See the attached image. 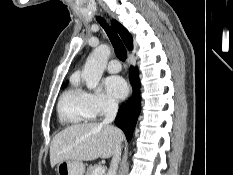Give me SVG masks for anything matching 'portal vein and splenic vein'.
<instances>
[{
    "label": "portal vein and splenic vein",
    "mask_w": 233,
    "mask_h": 175,
    "mask_svg": "<svg viewBox=\"0 0 233 175\" xmlns=\"http://www.w3.org/2000/svg\"><path fill=\"white\" fill-rule=\"evenodd\" d=\"M105 173V168L104 167H97L94 172L93 175H103Z\"/></svg>",
    "instance_id": "1"
}]
</instances>
